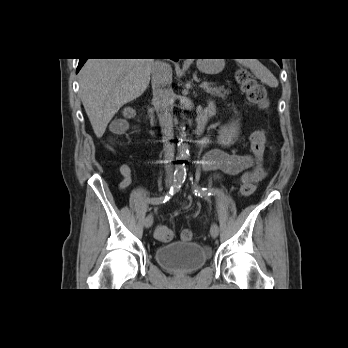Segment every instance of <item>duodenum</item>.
Returning a JSON list of instances; mask_svg holds the SVG:
<instances>
[{
	"instance_id": "duodenum-1",
	"label": "duodenum",
	"mask_w": 348,
	"mask_h": 348,
	"mask_svg": "<svg viewBox=\"0 0 348 348\" xmlns=\"http://www.w3.org/2000/svg\"><path fill=\"white\" fill-rule=\"evenodd\" d=\"M213 109H214L213 104H212V106H206L204 111L197 118V126H196L194 132L197 135H199L200 137H203L202 129L204 128V126H205L206 122L208 121L209 117L212 115ZM149 118H150L151 121L154 122V120H155L154 109H150L149 110Z\"/></svg>"
}]
</instances>
